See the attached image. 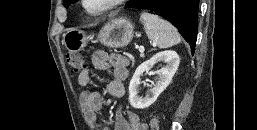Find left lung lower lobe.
<instances>
[{
    "label": "left lung lower lobe",
    "mask_w": 257,
    "mask_h": 130,
    "mask_svg": "<svg viewBox=\"0 0 257 130\" xmlns=\"http://www.w3.org/2000/svg\"><path fill=\"white\" fill-rule=\"evenodd\" d=\"M131 8L148 9L165 18L178 28L194 50L198 30L199 0H139Z\"/></svg>",
    "instance_id": "obj_1"
}]
</instances>
